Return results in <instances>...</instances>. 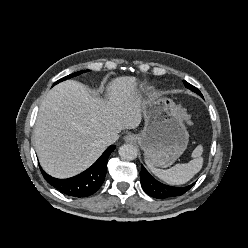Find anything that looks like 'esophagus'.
<instances>
[{"label":"esophagus","mask_w":248,"mask_h":248,"mask_svg":"<svg viewBox=\"0 0 248 248\" xmlns=\"http://www.w3.org/2000/svg\"><path fill=\"white\" fill-rule=\"evenodd\" d=\"M124 141L127 143H134L136 141V136L134 134L128 133L124 136Z\"/></svg>","instance_id":"esophagus-1"}]
</instances>
